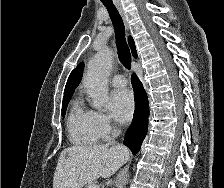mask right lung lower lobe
<instances>
[{"label":"right lung lower lobe","instance_id":"obj_1","mask_svg":"<svg viewBox=\"0 0 224 188\" xmlns=\"http://www.w3.org/2000/svg\"><path fill=\"white\" fill-rule=\"evenodd\" d=\"M132 86L135 98V111L131 126L126 132L123 144L135 155L139 152L148 127L149 105L146 92L138 77L132 75Z\"/></svg>","mask_w":224,"mask_h":188}]
</instances>
